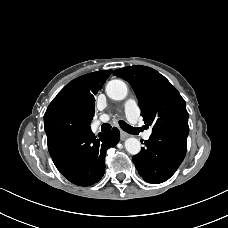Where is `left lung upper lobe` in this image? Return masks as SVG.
<instances>
[{
	"label": "left lung upper lobe",
	"mask_w": 228,
	"mask_h": 228,
	"mask_svg": "<svg viewBox=\"0 0 228 228\" xmlns=\"http://www.w3.org/2000/svg\"><path fill=\"white\" fill-rule=\"evenodd\" d=\"M130 83L138 99L141 116L153 132L173 133L187 139L188 112L178 90L159 72L146 66H128L114 71Z\"/></svg>",
	"instance_id": "5c2ea615"
}]
</instances>
